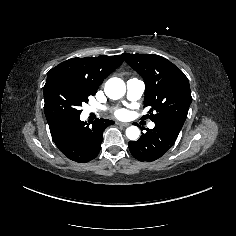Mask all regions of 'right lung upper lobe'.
<instances>
[{
  "instance_id": "1",
  "label": "right lung upper lobe",
  "mask_w": 236,
  "mask_h": 236,
  "mask_svg": "<svg viewBox=\"0 0 236 236\" xmlns=\"http://www.w3.org/2000/svg\"><path fill=\"white\" fill-rule=\"evenodd\" d=\"M124 61L123 55L71 58L52 68L47 77L64 75L84 84L94 95L103 80Z\"/></svg>"
}]
</instances>
